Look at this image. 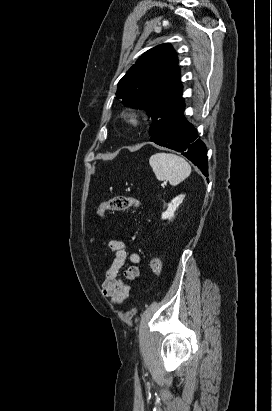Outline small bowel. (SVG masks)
<instances>
[{
	"label": "small bowel",
	"mask_w": 272,
	"mask_h": 411,
	"mask_svg": "<svg viewBox=\"0 0 272 411\" xmlns=\"http://www.w3.org/2000/svg\"><path fill=\"white\" fill-rule=\"evenodd\" d=\"M107 246L114 252V257L105 273L102 292L110 299L112 305L120 306L129 296L131 290L129 282H135L140 276L138 267L140 255L132 251L122 240H110ZM127 261L130 265L122 271Z\"/></svg>",
	"instance_id": "small-bowel-1"
}]
</instances>
